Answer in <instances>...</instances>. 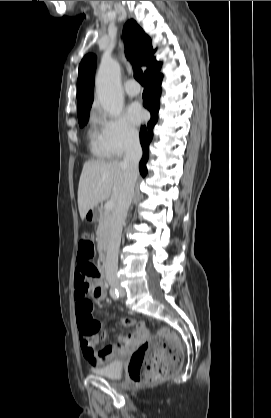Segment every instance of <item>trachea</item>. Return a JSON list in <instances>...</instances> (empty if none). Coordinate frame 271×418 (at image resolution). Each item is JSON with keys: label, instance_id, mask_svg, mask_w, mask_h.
Masks as SVG:
<instances>
[{"label": "trachea", "instance_id": "trachea-1", "mask_svg": "<svg viewBox=\"0 0 271 418\" xmlns=\"http://www.w3.org/2000/svg\"><path fill=\"white\" fill-rule=\"evenodd\" d=\"M125 53H126V57L127 59L132 63L133 65V69H134V77L135 79L141 84L143 85V72L140 68H138L133 61V49L132 46L130 44H128L127 42H125Z\"/></svg>", "mask_w": 271, "mask_h": 418}]
</instances>
